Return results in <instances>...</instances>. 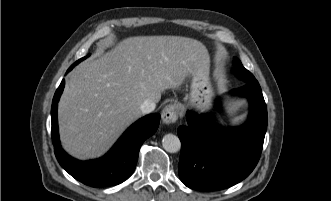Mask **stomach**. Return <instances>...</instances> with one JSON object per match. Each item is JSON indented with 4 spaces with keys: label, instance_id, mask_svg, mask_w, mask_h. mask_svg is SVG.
I'll use <instances>...</instances> for the list:
<instances>
[{
    "label": "stomach",
    "instance_id": "stomach-1",
    "mask_svg": "<svg viewBox=\"0 0 331 201\" xmlns=\"http://www.w3.org/2000/svg\"><path fill=\"white\" fill-rule=\"evenodd\" d=\"M213 88L209 78V61L200 62L191 74L190 93L185 103L199 112L210 110L213 102Z\"/></svg>",
    "mask_w": 331,
    "mask_h": 201
}]
</instances>
